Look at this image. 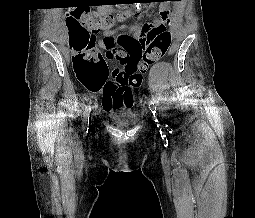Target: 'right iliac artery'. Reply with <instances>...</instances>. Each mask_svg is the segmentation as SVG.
I'll use <instances>...</instances> for the list:
<instances>
[{
    "instance_id": "82829eb1",
    "label": "right iliac artery",
    "mask_w": 255,
    "mask_h": 218,
    "mask_svg": "<svg viewBox=\"0 0 255 218\" xmlns=\"http://www.w3.org/2000/svg\"><path fill=\"white\" fill-rule=\"evenodd\" d=\"M91 107L88 105L85 109V115L83 118V127L86 129L89 125V114H90Z\"/></svg>"
}]
</instances>
